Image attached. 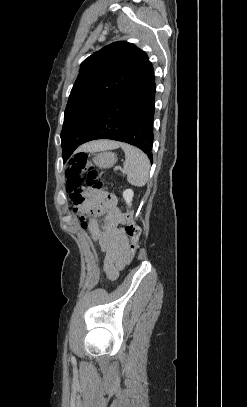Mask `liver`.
Returning a JSON list of instances; mask_svg holds the SVG:
<instances>
[{
  "label": "liver",
  "mask_w": 247,
  "mask_h": 407,
  "mask_svg": "<svg viewBox=\"0 0 247 407\" xmlns=\"http://www.w3.org/2000/svg\"><path fill=\"white\" fill-rule=\"evenodd\" d=\"M121 145V143L116 142V141H108V140H101V141H95V142H90L85 145H83L80 150L82 151H104L107 149H114L118 148Z\"/></svg>",
  "instance_id": "1"
}]
</instances>
